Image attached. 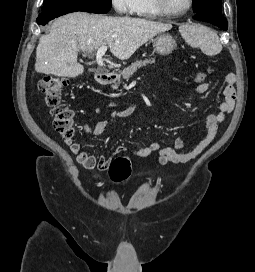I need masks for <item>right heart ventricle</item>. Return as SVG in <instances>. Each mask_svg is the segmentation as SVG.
Here are the masks:
<instances>
[{"label": "right heart ventricle", "mask_w": 255, "mask_h": 272, "mask_svg": "<svg viewBox=\"0 0 255 272\" xmlns=\"http://www.w3.org/2000/svg\"><path fill=\"white\" fill-rule=\"evenodd\" d=\"M138 16L147 18H157L161 14L154 5L153 0H136L135 12Z\"/></svg>", "instance_id": "1"}]
</instances>
